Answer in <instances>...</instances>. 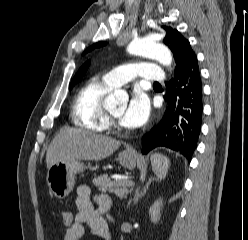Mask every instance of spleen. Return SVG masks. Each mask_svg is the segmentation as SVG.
I'll use <instances>...</instances> for the list:
<instances>
[{
    "label": "spleen",
    "instance_id": "obj_1",
    "mask_svg": "<svg viewBox=\"0 0 248 240\" xmlns=\"http://www.w3.org/2000/svg\"><path fill=\"white\" fill-rule=\"evenodd\" d=\"M151 165L157 178L162 180L167 175V172L170 166V161L164 155L155 153L151 156Z\"/></svg>",
    "mask_w": 248,
    "mask_h": 240
}]
</instances>
